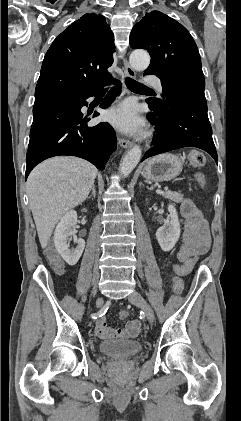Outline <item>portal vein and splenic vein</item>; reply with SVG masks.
<instances>
[{"label":"portal vein and splenic vein","mask_w":241,"mask_h":421,"mask_svg":"<svg viewBox=\"0 0 241 421\" xmlns=\"http://www.w3.org/2000/svg\"><path fill=\"white\" fill-rule=\"evenodd\" d=\"M156 192H157V193H162L163 191H162V190H160V189H157V190H156Z\"/></svg>","instance_id":"portal-vein-and-splenic-vein-1"}]
</instances>
